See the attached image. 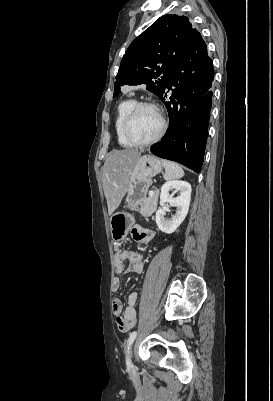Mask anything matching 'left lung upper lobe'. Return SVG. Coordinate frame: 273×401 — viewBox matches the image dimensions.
<instances>
[{
	"label": "left lung upper lobe",
	"mask_w": 273,
	"mask_h": 401,
	"mask_svg": "<svg viewBox=\"0 0 273 401\" xmlns=\"http://www.w3.org/2000/svg\"><path fill=\"white\" fill-rule=\"evenodd\" d=\"M199 39L201 35L188 17L168 14L158 18L126 50L114 83L113 97L121 93L125 84L144 83L147 90L160 98L176 63Z\"/></svg>",
	"instance_id": "left-lung-upper-lobe-1"
}]
</instances>
